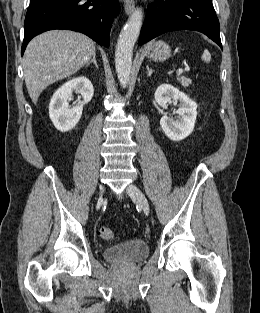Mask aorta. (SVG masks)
I'll return each instance as SVG.
<instances>
[{"mask_svg": "<svg viewBox=\"0 0 260 313\" xmlns=\"http://www.w3.org/2000/svg\"><path fill=\"white\" fill-rule=\"evenodd\" d=\"M143 12L136 9L123 27L116 45L115 67L121 85L128 84L132 68L133 48L139 37Z\"/></svg>", "mask_w": 260, "mask_h": 313, "instance_id": "aorta-1", "label": "aorta"}]
</instances>
